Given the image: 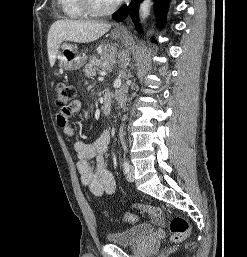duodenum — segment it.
<instances>
[{"instance_id":"1","label":"duodenum","mask_w":247,"mask_h":257,"mask_svg":"<svg viewBox=\"0 0 247 257\" xmlns=\"http://www.w3.org/2000/svg\"><path fill=\"white\" fill-rule=\"evenodd\" d=\"M112 110V95L111 92L106 89L103 93V104H102V111L104 115H109Z\"/></svg>"}]
</instances>
